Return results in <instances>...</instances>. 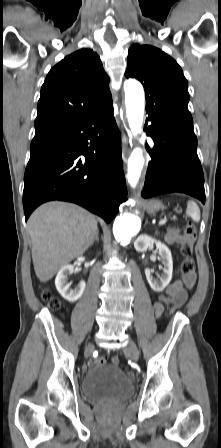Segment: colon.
Segmentation results:
<instances>
[{"instance_id":"1","label":"colon","mask_w":221,"mask_h":448,"mask_svg":"<svg viewBox=\"0 0 221 448\" xmlns=\"http://www.w3.org/2000/svg\"><path fill=\"white\" fill-rule=\"evenodd\" d=\"M195 236H196V227L192 222H189L183 232V242H182V246H181V252L184 256V260L182 262L181 265V273H182V278L184 282H188L189 279L191 278V276L193 274H195V263L194 260L192 258V254H193V243L195 240ZM43 299L46 300L47 302H49V304L53 307V308H57L58 307V302L55 301L54 299H52L51 294L48 290H44L42 293ZM181 306L180 302L175 301L173 302L171 308H170V312H175L177 309H179ZM106 362V360L104 358H98L97 359V364L99 365H104ZM112 363L114 365H118L120 363V359L117 356H114L112 358ZM129 376H132V372H128L127 373Z\"/></svg>"}]
</instances>
